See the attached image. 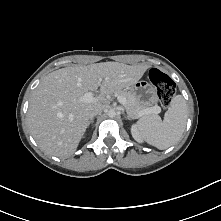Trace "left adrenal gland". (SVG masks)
Instances as JSON below:
<instances>
[{
    "label": "left adrenal gland",
    "instance_id": "left-adrenal-gland-1",
    "mask_svg": "<svg viewBox=\"0 0 221 221\" xmlns=\"http://www.w3.org/2000/svg\"><path fill=\"white\" fill-rule=\"evenodd\" d=\"M126 118H127L128 120H131V119H132L129 115H127Z\"/></svg>",
    "mask_w": 221,
    "mask_h": 221
}]
</instances>
